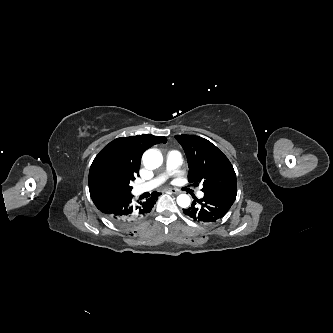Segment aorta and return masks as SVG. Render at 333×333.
<instances>
[{"label": "aorta", "instance_id": "obj_1", "mask_svg": "<svg viewBox=\"0 0 333 333\" xmlns=\"http://www.w3.org/2000/svg\"><path fill=\"white\" fill-rule=\"evenodd\" d=\"M142 160L148 169H156L161 166L163 157L158 150L148 149L144 152ZM177 204L182 208H187L190 205V197L186 194H180L177 197Z\"/></svg>", "mask_w": 333, "mask_h": 333}]
</instances>
